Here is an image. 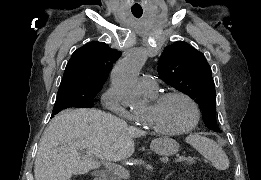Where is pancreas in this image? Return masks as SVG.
Listing matches in <instances>:
<instances>
[{
  "label": "pancreas",
  "instance_id": "pancreas-1",
  "mask_svg": "<svg viewBox=\"0 0 261 180\" xmlns=\"http://www.w3.org/2000/svg\"><path fill=\"white\" fill-rule=\"evenodd\" d=\"M185 164H188V166L190 167H195L196 166L195 158H187V162H185Z\"/></svg>",
  "mask_w": 261,
  "mask_h": 180
}]
</instances>
